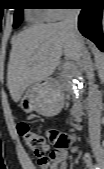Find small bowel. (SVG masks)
Listing matches in <instances>:
<instances>
[{
    "label": "small bowel",
    "instance_id": "small-bowel-1",
    "mask_svg": "<svg viewBox=\"0 0 104 169\" xmlns=\"http://www.w3.org/2000/svg\"><path fill=\"white\" fill-rule=\"evenodd\" d=\"M67 159H68V151L66 147L64 148L56 147L54 151L51 153L50 162L48 166L41 165L40 169H66ZM82 162L83 169H94L92 158L88 153H85L82 156Z\"/></svg>",
    "mask_w": 104,
    "mask_h": 169
}]
</instances>
